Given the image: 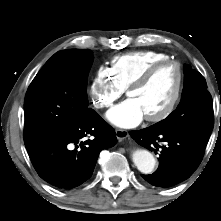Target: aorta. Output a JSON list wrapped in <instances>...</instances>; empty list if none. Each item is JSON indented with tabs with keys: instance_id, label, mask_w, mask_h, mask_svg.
I'll list each match as a JSON object with an SVG mask.
<instances>
[{
	"instance_id": "obj_1",
	"label": "aorta",
	"mask_w": 221,
	"mask_h": 221,
	"mask_svg": "<svg viewBox=\"0 0 221 221\" xmlns=\"http://www.w3.org/2000/svg\"><path fill=\"white\" fill-rule=\"evenodd\" d=\"M132 160L138 170L144 174L152 173L156 165L155 157L143 149L135 150L132 154Z\"/></svg>"
}]
</instances>
